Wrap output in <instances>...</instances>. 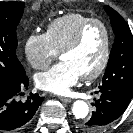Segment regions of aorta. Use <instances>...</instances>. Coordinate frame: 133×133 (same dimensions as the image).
Here are the masks:
<instances>
[{
  "mask_svg": "<svg viewBox=\"0 0 133 133\" xmlns=\"http://www.w3.org/2000/svg\"><path fill=\"white\" fill-rule=\"evenodd\" d=\"M72 113L77 119H85L89 113L88 104L82 100L74 102Z\"/></svg>",
  "mask_w": 133,
  "mask_h": 133,
  "instance_id": "aorta-1",
  "label": "aorta"
}]
</instances>
